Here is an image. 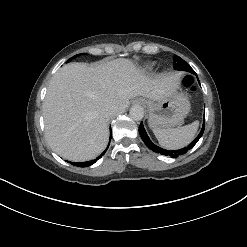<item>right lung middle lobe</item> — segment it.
<instances>
[{
    "instance_id": "right-lung-middle-lobe-1",
    "label": "right lung middle lobe",
    "mask_w": 247,
    "mask_h": 247,
    "mask_svg": "<svg viewBox=\"0 0 247 247\" xmlns=\"http://www.w3.org/2000/svg\"><path fill=\"white\" fill-rule=\"evenodd\" d=\"M79 55H75L74 57L70 58L67 62L71 61L73 58L77 57Z\"/></svg>"
}]
</instances>
